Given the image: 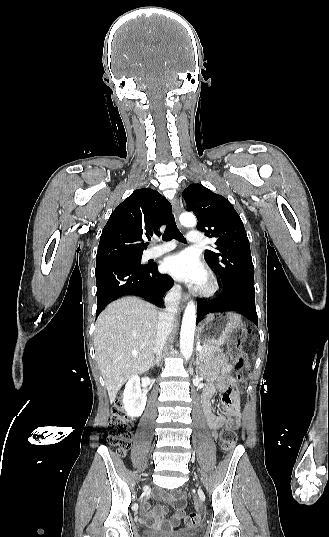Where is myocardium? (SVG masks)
<instances>
[{"instance_id":"1","label":"myocardium","mask_w":329,"mask_h":537,"mask_svg":"<svg viewBox=\"0 0 329 537\" xmlns=\"http://www.w3.org/2000/svg\"><path fill=\"white\" fill-rule=\"evenodd\" d=\"M220 288L219 281L213 273H208L204 282L198 289V293L203 297L213 296Z\"/></svg>"}]
</instances>
